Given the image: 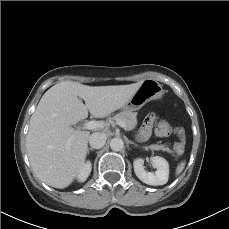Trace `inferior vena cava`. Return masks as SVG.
Masks as SVG:
<instances>
[{
	"label": "inferior vena cava",
	"mask_w": 229,
	"mask_h": 229,
	"mask_svg": "<svg viewBox=\"0 0 229 229\" xmlns=\"http://www.w3.org/2000/svg\"><path fill=\"white\" fill-rule=\"evenodd\" d=\"M89 143L93 149H100L106 143V136L99 132L93 133L89 137Z\"/></svg>",
	"instance_id": "obj_1"
}]
</instances>
